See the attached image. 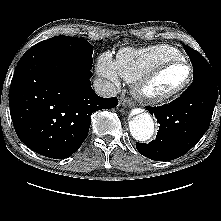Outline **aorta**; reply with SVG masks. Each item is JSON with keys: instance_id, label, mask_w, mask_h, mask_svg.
<instances>
[{"instance_id": "762f6f07", "label": "aorta", "mask_w": 221, "mask_h": 221, "mask_svg": "<svg viewBox=\"0 0 221 221\" xmlns=\"http://www.w3.org/2000/svg\"><path fill=\"white\" fill-rule=\"evenodd\" d=\"M130 133L137 141H146L153 136L154 122L147 112L140 113L129 120Z\"/></svg>"}]
</instances>
